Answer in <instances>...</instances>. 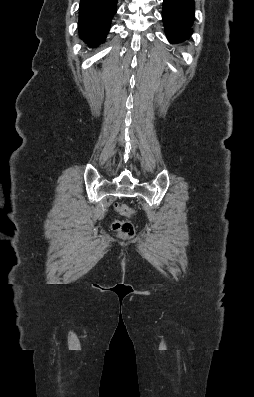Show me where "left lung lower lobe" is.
<instances>
[{
	"label": "left lung lower lobe",
	"mask_w": 254,
	"mask_h": 397,
	"mask_svg": "<svg viewBox=\"0 0 254 397\" xmlns=\"http://www.w3.org/2000/svg\"><path fill=\"white\" fill-rule=\"evenodd\" d=\"M194 0H164L162 19L168 40L181 43L192 34L194 22Z\"/></svg>",
	"instance_id": "left-lung-lower-lobe-1"
}]
</instances>
